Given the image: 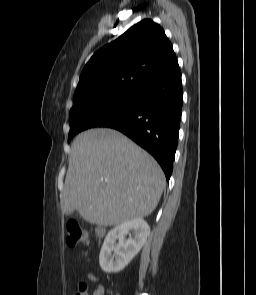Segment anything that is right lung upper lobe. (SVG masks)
Listing matches in <instances>:
<instances>
[{"label":"right lung upper lobe","instance_id":"cb5924a9","mask_svg":"<svg viewBox=\"0 0 256 295\" xmlns=\"http://www.w3.org/2000/svg\"><path fill=\"white\" fill-rule=\"evenodd\" d=\"M174 57L161 26L142 20L91 57L81 73L74 100L89 102L136 92Z\"/></svg>","mask_w":256,"mask_h":295}]
</instances>
